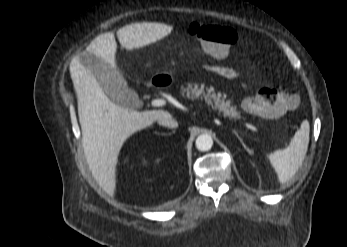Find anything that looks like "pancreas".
<instances>
[{
	"mask_svg": "<svg viewBox=\"0 0 347 247\" xmlns=\"http://www.w3.org/2000/svg\"><path fill=\"white\" fill-rule=\"evenodd\" d=\"M181 95L191 100H202L204 98L213 110L218 111L224 117L233 120L241 119L240 112L237 111L236 106L232 104L230 99H226V94L215 92L213 87H207L205 90L203 86L199 87L196 83H187L186 86H181Z\"/></svg>",
	"mask_w": 347,
	"mask_h": 247,
	"instance_id": "cf45deb5",
	"label": "pancreas"
}]
</instances>
